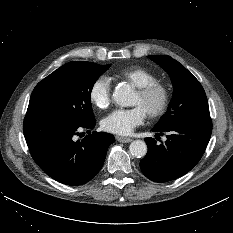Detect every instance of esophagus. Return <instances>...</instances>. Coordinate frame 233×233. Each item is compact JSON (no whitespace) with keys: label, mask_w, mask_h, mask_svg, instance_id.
<instances>
[{"label":"esophagus","mask_w":233,"mask_h":233,"mask_svg":"<svg viewBox=\"0 0 233 233\" xmlns=\"http://www.w3.org/2000/svg\"><path fill=\"white\" fill-rule=\"evenodd\" d=\"M116 139L119 141V142H122V143H129L132 141L131 138L129 137H123V136H117Z\"/></svg>","instance_id":"esophagus-1"}]
</instances>
